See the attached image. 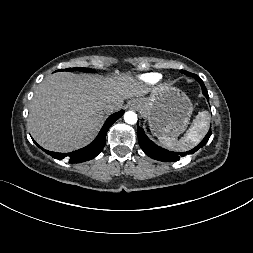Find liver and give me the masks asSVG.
Masks as SVG:
<instances>
[{
	"mask_svg": "<svg viewBox=\"0 0 253 253\" xmlns=\"http://www.w3.org/2000/svg\"><path fill=\"white\" fill-rule=\"evenodd\" d=\"M148 93L131 76L102 78L58 72L38 86L31 101L29 130L45 149L70 152L86 145L106 113L120 109L125 99ZM108 104L114 105L111 111Z\"/></svg>",
	"mask_w": 253,
	"mask_h": 253,
	"instance_id": "obj_1",
	"label": "liver"
}]
</instances>
